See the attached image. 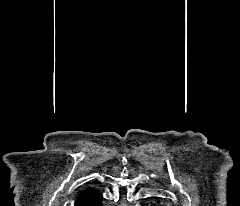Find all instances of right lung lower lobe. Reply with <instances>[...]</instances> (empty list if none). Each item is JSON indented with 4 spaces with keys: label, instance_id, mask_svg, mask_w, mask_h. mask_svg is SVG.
Here are the masks:
<instances>
[{
    "label": "right lung lower lobe",
    "instance_id": "1",
    "mask_svg": "<svg viewBox=\"0 0 240 206\" xmlns=\"http://www.w3.org/2000/svg\"><path fill=\"white\" fill-rule=\"evenodd\" d=\"M103 196L97 189H91L87 193L79 195L74 206H102Z\"/></svg>",
    "mask_w": 240,
    "mask_h": 206
}]
</instances>
